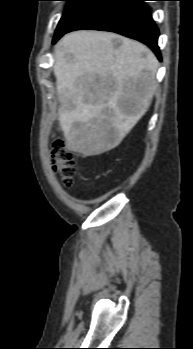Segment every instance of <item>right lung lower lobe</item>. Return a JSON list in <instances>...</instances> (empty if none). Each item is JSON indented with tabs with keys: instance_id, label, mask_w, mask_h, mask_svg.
<instances>
[{
	"instance_id": "98d812e1",
	"label": "right lung lower lobe",
	"mask_w": 193,
	"mask_h": 349,
	"mask_svg": "<svg viewBox=\"0 0 193 349\" xmlns=\"http://www.w3.org/2000/svg\"><path fill=\"white\" fill-rule=\"evenodd\" d=\"M144 1L146 0H103L63 34L56 36L53 43L73 30L112 31L143 42L161 60L157 44L159 30Z\"/></svg>"
}]
</instances>
